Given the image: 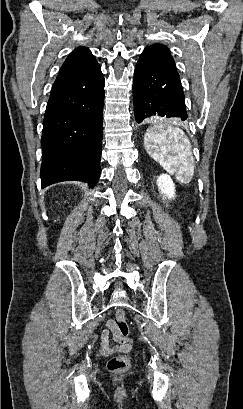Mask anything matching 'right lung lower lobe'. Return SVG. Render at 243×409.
<instances>
[{
	"label": "right lung lower lobe",
	"instance_id": "right-lung-lower-lobe-1",
	"mask_svg": "<svg viewBox=\"0 0 243 409\" xmlns=\"http://www.w3.org/2000/svg\"><path fill=\"white\" fill-rule=\"evenodd\" d=\"M104 77L100 66L59 74L43 120L42 187L78 180L97 183L103 134Z\"/></svg>",
	"mask_w": 243,
	"mask_h": 409
}]
</instances>
